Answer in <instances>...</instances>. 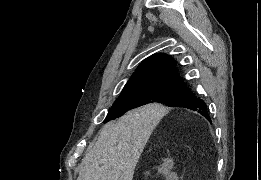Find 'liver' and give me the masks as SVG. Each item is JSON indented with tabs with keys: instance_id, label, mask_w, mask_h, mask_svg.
Here are the masks:
<instances>
[{
	"instance_id": "obj_1",
	"label": "liver",
	"mask_w": 261,
	"mask_h": 180,
	"mask_svg": "<svg viewBox=\"0 0 261 180\" xmlns=\"http://www.w3.org/2000/svg\"><path fill=\"white\" fill-rule=\"evenodd\" d=\"M159 110V104H149L105 124L97 142L87 150L77 180H133Z\"/></svg>"
}]
</instances>
